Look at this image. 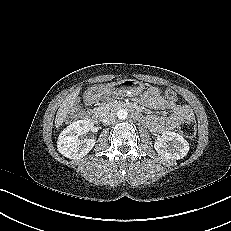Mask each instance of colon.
Instances as JSON below:
<instances>
[{
  "label": "colon",
  "mask_w": 231,
  "mask_h": 231,
  "mask_svg": "<svg viewBox=\"0 0 231 231\" xmlns=\"http://www.w3.org/2000/svg\"><path fill=\"white\" fill-rule=\"evenodd\" d=\"M165 95L170 101H177V94L175 91L168 89ZM181 135L187 139H193L196 136V124L193 120H185L179 125Z\"/></svg>",
  "instance_id": "colon-1"
}]
</instances>
